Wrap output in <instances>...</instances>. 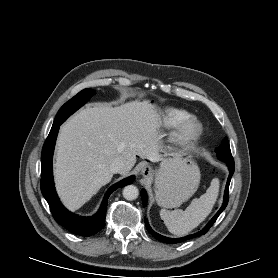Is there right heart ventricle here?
Instances as JSON below:
<instances>
[{
    "label": "right heart ventricle",
    "instance_id": "1",
    "mask_svg": "<svg viewBox=\"0 0 278 278\" xmlns=\"http://www.w3.org/2000/svg\"><path fill=\"white\" fill-rule=\"evenodd\" d=\"M189 117H191V114L187 110L180 108L170 107L163 112V121L170 128H176Z\"/></svg>",
    "mask_w": 278,
    "mask_h": 278
}]
</instances>
